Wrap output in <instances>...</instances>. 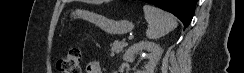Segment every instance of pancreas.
Listing matches in <instances>:
<instances>
[{"label": "pancreas", "instance_id": "obj_1", "mask_svg": "<svg viewBox=\"0 0 244 73\" xmlns=\"http://www.w3.org/2000/svg\"><path fill=\"white\" fill-rule=\"evenodd\" d=\"M126 43L124 41H114L111 43V55L119 54L123 51L124 47H126Z\"/></svg>", "mask_w": 244, "mask_h": 73}]
</instances>
